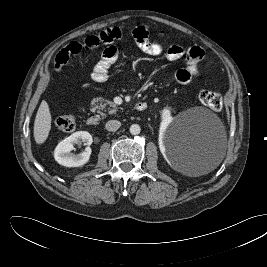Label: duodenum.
<instances>
[{"instance_id": "duodenum-1", "label": "duodenum", "mask_w": 267, "mask_h": 267, "mask_svg": "<svg viewBox=\"0 0 267 267\" xmlns=\"http://www.w3.org/2000/svg\"><path fill=\"white\" fill-rule=\"evenodd\" d=\"M148 104L145 101H139L135 105V109L138 111H143L147 108ZM86 124L89 126H95L99 124V119L96 116H90L86 119Z\"/></svg>"}]
</instances>
